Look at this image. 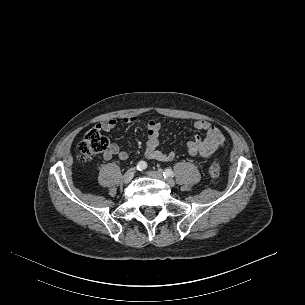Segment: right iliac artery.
I'll use <instances>...</instances> for the list:
<instances>
[{
	"instance_id": "obj_1",
	"label": "right iliac artery",
	"mask_w": 305,
	"mask_h": 305,
	"mask_svg": "<svg viewBox=\"0 0 305 305\" xmlns=\"http://www.w3.org/2000/svg\"><path fill=\"white\" fill-rule=\"evenodd\" d=\"M137 170L142 171L147 168V163L145 161L138 162L136 166Z\"/></svg>"
}]
</instances>
